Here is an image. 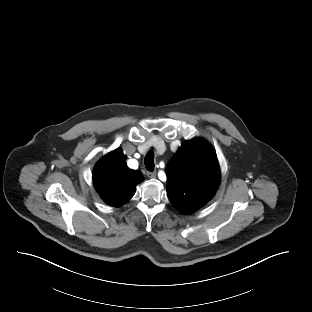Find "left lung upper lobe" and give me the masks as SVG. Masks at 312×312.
Listing matches in <instances>:
<instances>
[{
  "mask_svg": "<svg viewBox=\"0 0 312 312\" xmlns=\"http://www.w3.org/2000/svg\"><path fill=\"white\" fill-rule=\"evenodd\" d=\"M167 194L182 213L190 214L204 206L220 183L217 156L212 147L199 138L186 141L168 162Z\"/></svg>",
  "mask_w": 312,
  "mask_h": 312,
  "instance_id": "1",
  "label": "left lung upper lobe"
}]
</instances>
